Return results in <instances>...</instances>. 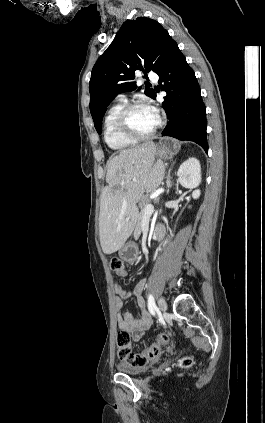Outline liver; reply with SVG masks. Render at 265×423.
I'll return each mask as SVG.
<instances>
[{
    "mask_svg": "<svg viewBox=\"0 0 265 423\" xmlns=\"http://www.w3.org/2000/svg\"><path fill=\"white\" fill-rule=\"evenodd\" d=\"M155 157L156 146L148 141L120 151L107 162L108 186L101 195L99 215L100 244L105 254L123 247L137 221V203L163 181L165 167Z\"/></svg>",
    "mask_w": 265,
    "mask_h": 423,
    "instance_id": "liver-1",
    "label": "liver"
}]
</instances>
